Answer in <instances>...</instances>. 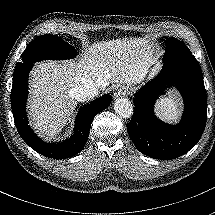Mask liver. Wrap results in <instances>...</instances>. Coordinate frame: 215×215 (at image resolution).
<instances>
[{"label": "liver", "mask_w": 215, "mask_h": 215, "mask_svg": "<svg viewBox=\"0 0 215 215\" xmlns=\"http://www.w3.org/2000/svg\"><path fill=\"white\" fill-rule=\"evenodd\" d=\"M153 63L151 45L145 38L93 43L78 61L35 63L27 103L30 126L38 136L53 138L77 106L75 89L86 83H94L102 91L109 84L140 83Z\"/></svg>", "instance_id": "6515ba94"}]
</instances>
